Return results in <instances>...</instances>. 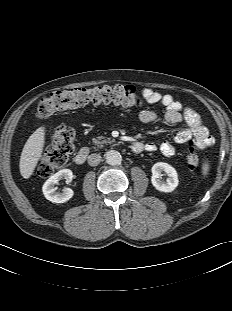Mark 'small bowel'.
<instances>
[{
    "label": "small bowel",
    "mask_w": 232,
    "mask_h": 311,
    "mask_svg": "<svg viewBox=\"0 0 232 311\" xmlns=\"http://www.w3.org/2000/svg\"><path fill=\"white\" fill-rule=\"evenodd\" d=\"M143 97L149 103H160L164 107L163 120L169 124L184 123L186 127L176 132L172 140H165L157 146L154 143H146L144 149L153 152L157 149L166 157L175 154V144H185L193 139L199 149H204L213 144V138L209 135L207 128L199 114L190 107L183 105L169 94H163L152 88L142 90ZM138 118L142 123L149 124L159 120V115L148 109H143L138 113Z\"/></svg>",
    "instance_id": "obj_1"
}]
</instances>
